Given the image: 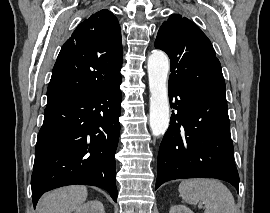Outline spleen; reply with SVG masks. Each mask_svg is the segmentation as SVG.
Masks as SVG:
<instances>
[{"instance_id":"3e777b00","label":"spleen","mask_w":270,"mask_h":213,"mask_svg":"<svg viewBox=\"0 0 270 213\" xmlns=\"http://www.w3.org/2000/svg\"><path fill=\"white\" fill-rule=\"evenodd\" d=\"M179 193L188 204L201 201L204 213H235L234 197L230 190L215 179H186L179 184Z\"/></svg>"}]
</instances>
